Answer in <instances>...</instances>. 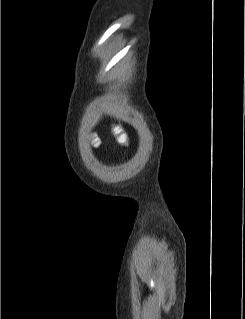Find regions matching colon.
Here are the masks:
<instances>
[{"mask_svg":"<svg viewBox=\"0 0 245 319\" xmlns=\"http://www.w3.org/2000/svg\"><path fill=\"white\" fill-rule=\"evenodd\" d=\"M114 134L116 135L117 142H118L120 145L125 144L126 138H125L123 135H121L118 130H114Z\"/></svg>","mask_w":245,"mask_h":319,"instance_id":"colon-1","label":"colon"}]
</instances>
